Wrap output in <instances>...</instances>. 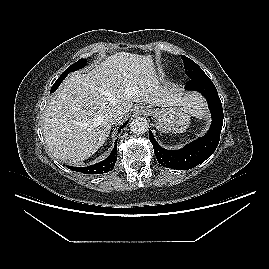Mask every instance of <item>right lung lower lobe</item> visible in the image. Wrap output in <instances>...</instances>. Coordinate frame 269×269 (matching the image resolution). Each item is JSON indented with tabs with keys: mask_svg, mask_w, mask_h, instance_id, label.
<instances>
[{
	"mask_svg": "<svg viewBox=\"0 0 269 269\" xmlns=\"http://www.w3.org/2000/svg\"><path fill=\"white\" fill-rule=\"evenodd\" d=\"M65 77H66L65 74H61L60 78H58L57 81L52 86L51 92H54L59 87V85L61 84V82L64 80ZM127 123H128V121L126 123H124V125L122 127H124ZM116 141H115V146H114L111 154L105 160H103L99 163H96L94 165L87 166V167H70V166H68V168L72 169L74 171L81 172L84 174H89V175L103 174V173H107V172L111 171L114 168V165H115L116 160H117V142Z\"/></svg>",
	"mask_w": 269,
	"mask_h": 269,
	"instance_id": "1",
	"label": "right lung lower lobe"
}]
</instances>
